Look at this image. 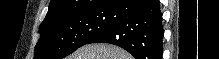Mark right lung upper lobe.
I'll list each match as a JSON object with an SVG mask.
<instances>
[{"label": "right lung upper lobe", "instance_id": "1", "mask_svg": "<svg viewBox=\"0 0 219 59\" xmlns=\"http://www.w3.org/2000/svg\"><path fill=\"white\" fill-rule=\"evenodd\" d=\"M119 0H51L42 23L55 18L114 8Z\"/></svg>", "mask_w": 219, "mask_h": 59}]
</instances>
